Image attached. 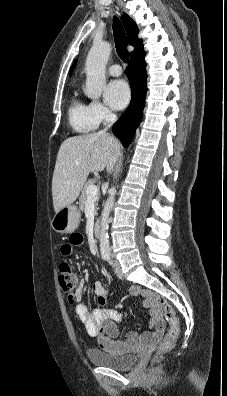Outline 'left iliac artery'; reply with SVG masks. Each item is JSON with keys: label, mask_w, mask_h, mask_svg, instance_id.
Listing matches in <instances>:
<instances>
[{"label": "left iliac artery", "mask_w": 227, "mask_h": 396, "mask_svg": "<svg viewBox=\"0 0 227 396\" xmlns=\"http://www.w3.org/2000/svg\"><path fill=\"white\" fill-rule=\"evenodd\" d=\"M107 260H108L109 264H111V265H112V261H111L110 255H108V258H107Z\"/></svg>", "instance_id": "44dca946"}]
</instances>
